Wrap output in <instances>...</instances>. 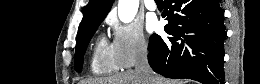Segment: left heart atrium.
<instances>
[{"label": "left heart atrium", "instance_id": "obj_1", "mask_svg": "<svg viewBox=\"0 0 260 84\" xmlns=\"http://www.w3.org/2000/svg\"><path fill=\"white\" fill-rule=\"evenodd\" d=\"M157 26V23L154 19H150L149 22H148V28L150 30H154Z\"/></svg>", "mask_w": 260, "mask_h": 84}]
</instances>
